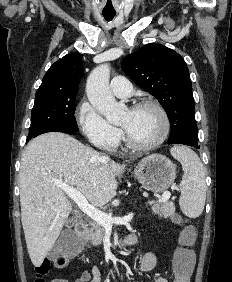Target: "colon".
<instances>
[{
	"mask_svg": "<svg viewBox=\"0 0 232 282\" xmlns=\"http://www.w3.org/2000/svg\"><path fill=\"white\" fill-rule=\"evenodd\" d=\"M182 222L181 219H176ZM195 239V233L191 226L185 225L180 233V246L176 249L173 259V282H189L193 266V253L190 249ZM81 248V242L76 235L65 231L52 249L49 257L44 259L35 268L33 282H46L52 267L62 268L75 257Z\"/></svg>",
	"mask_w": 232,
	"mask_h": 282,
	"instance_id": "5ec220e1",
	"label": "colon"
}]
</instances>
